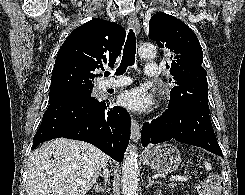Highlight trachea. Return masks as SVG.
I'll use <instances>...</instances> for the list:
<instances>
[{
    "label": "trachea",
    "mask_w": 245,
    "mask_h": 195,
    "mask_svg": "<svg viewBox=\"0 0 245 195\" xmlns=\"http://www.w3.org/2000/svg\"><path fill=\"white\" fill-rule=\"evenodd\" d=\"M135 54H136V37L135 33L130 30L127 36V40L123 49V56L120 63V66L115 72V75H122L128 66H132L135 63ZM110 72L106 71L104 73L105 77H108Z\"/></svg>",
    "instance_id": "obj_1"
}]
</instances>
